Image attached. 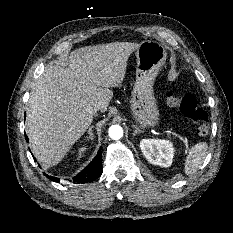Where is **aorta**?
<instances>
[{
    "mask_svg": "<svg viewBox=\"0 0 233 233\" xmlns=\"http://www.w3.org/2000/svg\"><path fill=\"white\" fill-rule=\"evenodd\" d=\"M109 136L113 140H119L123 137V129L119 125H112L109 128Z\"/></svg>",
    "mask_w": 233,
    "mask_h": 233,
    "instance_id": "1",
    "label": "aorta"
}]
</instances>
